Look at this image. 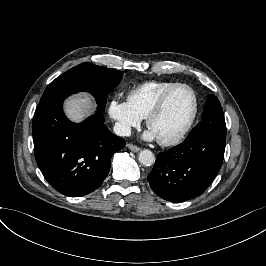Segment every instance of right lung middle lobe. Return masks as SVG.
<instances>
[{
  "mask_svg": "<svg viewBox=\"0 0 266 266\" xmlns=\"http://www.w3.org/2000/svg\"><path fill=\"white\" fill-rule=\"evenodd\" d=\"M122 77V71L84 62L51 82L41 100L57 93L87 91L96 98L98 107L104 110L110 89L117 86Z\"/></svg>",
  "mask_w": 266,
  "mask_h": 266,
  "instance_id": "right-lung-middle-lobe-1",
  "label": "right lung middle lobe"
}]
</instances>
